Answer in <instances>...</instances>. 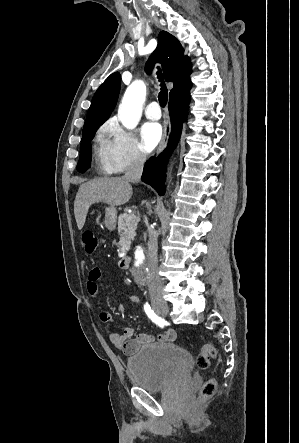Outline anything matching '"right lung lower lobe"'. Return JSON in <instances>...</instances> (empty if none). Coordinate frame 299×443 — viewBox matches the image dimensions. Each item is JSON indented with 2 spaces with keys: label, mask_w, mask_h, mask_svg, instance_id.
Here are the masks:
<instances>
[{
  "label": "right lung lower lobe",
  "mask_w": 299,
  "mask_h": 443,
  "mask_svg": "<svg viewBox=\"0 0 299 443\" xmlns=\"http://www.w3.org/2000/svg\"><path fill=\"white\" fill-rule=\"evenodd\" d=\"M190 88L191 83L170 94L168 106L171 117V135L168 146L157 158L152 157L146 162L141 177L143 182L152 186L161 196L165 193L164 181L168 158L179 140L182 124L186 119L185 104L189 101Z\"/></svg>",
  "instance_id": "1"
}]
</instances>
